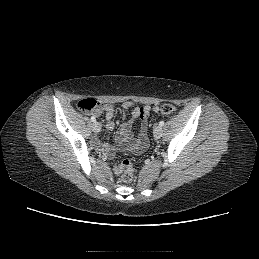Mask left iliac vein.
Returning <instances> with one entry per match:
<instances>
[{
	"label": "left iliac vein",
	"mask_w": 259,
	"mask_h": 259,
	"mask_svg": "<svg viewBox=\"0 0 259 259\" xmlns=\"http://www.w3.org/2000/svg\"><path fill=\"white\" fill-rule=\"evenodd\" d=\"M163 130L161 126H156L153 131V135L156 139H159L162 136Z\"/></svg>",
	"instance_id": "1"
}]
</instances>
